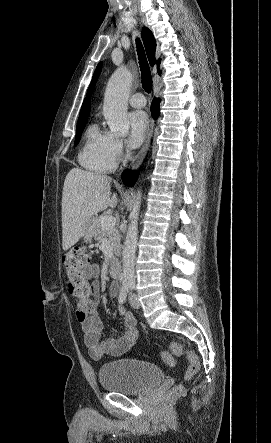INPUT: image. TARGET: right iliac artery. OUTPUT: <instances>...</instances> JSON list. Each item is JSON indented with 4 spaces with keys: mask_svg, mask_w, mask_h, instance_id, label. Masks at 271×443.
<instances>
[{
    "mask_svg": "<svg viewBox=\"0 0 271 443\" xmlns=\"http://www.w3.org/2000/svg\"><path fill=\"white\" fill-rule=\"evenodd\" d=\"M128 291H129V287L128 286H123L120 290V294L118 297V301L120 304L125 303L127 295H128Z\"/></svg>",
    "mask_w": 271,
    "mask_h": 443,
    "instance_id": "right-iliac-artery-1",
    "label": "right iliac artery"
}]
</instances>
